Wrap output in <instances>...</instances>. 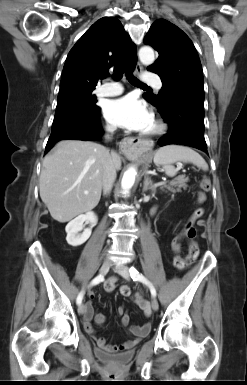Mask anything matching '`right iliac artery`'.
<instances>
[{
	"mask_svg": "<svg viewBox=\"0 0 247 385\" xmlns=\"http://www.w3.org/2000/svg\"><path fill=\"white\" fill-rule=\"evenodd\" d=\"M102 281H103V276H102V275H99V276L95 277V278L91 281L90 285H91V286H94V285L99 284V283L102 282ZM83 295H84V291H81V292L79 293V295L77 296L76 302H77L78 305L81 304L82 299H83Z\"/></svg>",
	"mask_w": 247,
	"mask_h": 385,
	"instance_id": "obj_1",
	"label": "right iliac artery"
}]
</instances>
